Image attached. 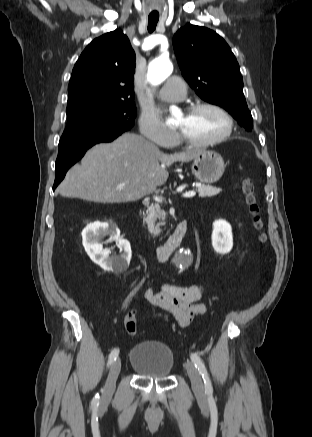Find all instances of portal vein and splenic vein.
Listing matches in <instances>:
<instances>
[{
	"label": "portal vein and splenic vein",
	"instance_id": "obj_1",
	"mask_svg": "<svg viewBox=\"0 0 312 437\" xmlns=\"http://www.w3.org/2000/svg\"><path fill=\"white\" fill-rule=\"evenodd\" d=\"M123 187L122 186H120V187H118V189H122ZM196 195V192H194V191H189V192H186V193H184L183 194V197H185V198H191V197H194ZM154 200L156 201V202H162V197H159V196H155L154 197Z\"/></svg>",
	"mask_w": 312,
	"mask_h": 437
}]
</instances>
